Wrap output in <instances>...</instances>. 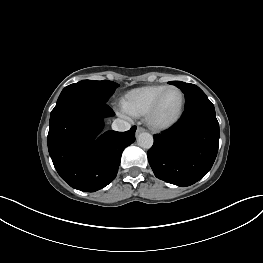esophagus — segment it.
<instances>
[{
  "instance_id": "1",
  "label": "esophagus",
  "mask_w": 263,
  "mask_h": 263,
  "mask_svg": "<svg viewBox=\"0 0 263 263\" xmlns=\"http://www.w3.org/2000/svg\"><path fill=\"white\" fill-rule=\"evenodd\" d=\"M145 129L143 127H138L137 130H136V134H140L142 132H144Z\"/></svg>"
}]
</instances>
